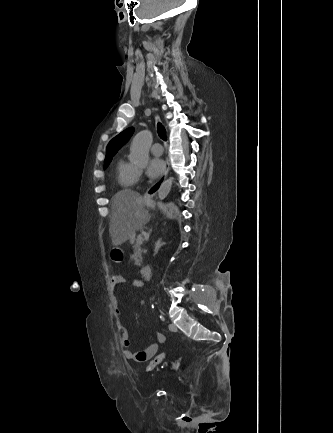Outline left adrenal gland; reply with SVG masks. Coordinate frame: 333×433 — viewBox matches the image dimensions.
Wrapping results in <instances>:
<instances>
[{
    "instance_id": "left-adrenal-gland-1",
    "label": "left adrenal gland",
    "mask_w": 333,
    "mask_h": 433,
    "mask_svg": "<svg viewBox=\"0 0 333 433\" xmlns=\"http://www.w3.org/2000/svg\"><path fill=\"white\" fill-rule=\"evenodd\" d=\"M166 243L165 242H162V239L161 238H159L157 241H156V243H155V248H154V252H155V254L158 252V250L162 247V246H164Z\"/></svg>"
}]
</instances>
